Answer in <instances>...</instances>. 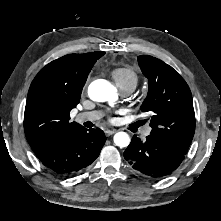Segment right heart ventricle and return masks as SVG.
Instances as JSON below:
<instances>
[{"label": "right heart ventricle", "instance_id": "right-heart-ventricle-1", "mask_svg": "<svg viewBox=\"0 0 221 221\" xmlns=\"http://www.w3.org/2000/svg\"><path fill=\"white\" fill-rule=\"evenodd\" d=\"M111 75L120 90L133 91L139 82V76L132 67H117L112 70Z\"/></svg>", "mask_w": 221, "mask_h": 221}]
</instances>
